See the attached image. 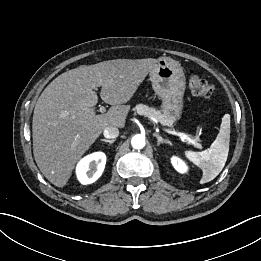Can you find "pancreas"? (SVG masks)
I'll return each mask as SVG.
<instances>
[{"mask_svg":"<svg viewBox=\"0 0 261 261\" xmlns=\"http://www.w3.org/2000/svg\"><path fill=\"white\" fill-rule=\"evenodd\" d=\"M134 110L139 115H144L149 118L155 119L157 122H160L164 126L172 127L174 119L167 113H161L154 108H150L147 105L138 104Z\"/></svg>","mask_w":261,"mask_h":261,"instance_id":"1","label":"pancreas"}]
</instances>
